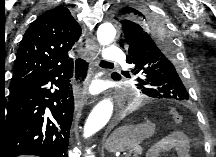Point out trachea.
<instances>
[{"mask_svg":"<svg viewBox=\"0 0 216 157\" xmlns=\"http://www.w3.org/2000/svg\"><path fill=\"white\" fill-rule=\"evenodd\" d=\"M79 62H83V60L82 59H78V60H76V63H79ZM100 64H110V62H107V61H101V63Z\"/></svg>","mask_w":216,"mask_h":157,"instance_id":"obj_1","label":"trachea"}]
</instances>
